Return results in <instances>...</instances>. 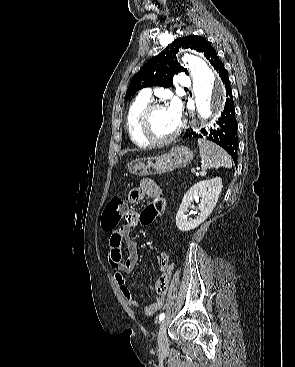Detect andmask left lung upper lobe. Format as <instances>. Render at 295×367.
<instances>
[{"label":"left lung upper lobe","mask_w":295,"mask_h":367,"mask_svg":"<svg viewBox=\"0 0 295 367\" xmlns=\"http://www.w3.org/2000/svg\"><path fill=\"white\" fill-rule=\"evenodd\" d=\"M181 48H190L204 54L213 66L218 58L211 44L203 37L189 35L175 39L165 50L147 61L130 81L125 99L129 98L142 88L150 86L172 87L173 76L179 72L188 74L187 69L182 67L176 53Z\"/></svg>","instance_id":"1"}]
</instances>
